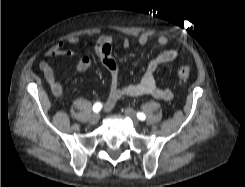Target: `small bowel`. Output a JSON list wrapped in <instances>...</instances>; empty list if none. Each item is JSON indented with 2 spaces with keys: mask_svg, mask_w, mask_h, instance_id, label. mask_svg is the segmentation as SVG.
Masks as SVG:
<instances>
[{
  "mask_svg": "<svg viewBox=\"0 0 245 187\" xmlns=\"http://www.w3.org/2000/svg\"><path fill=\"white\" fill-rule=\"evenodd\" d=\"M150 38L146 34H141L138 37V43L140 45H146ZM78 40L72 38L69 40L70 44H76ZM124 48L130 46V40L124 37L121 41ZM157 44L159 46H166L168 44V38L164 35H160L157 38ZM64 43L58 42L48 50V56L55 57L62 53ZM113 38L111 36L101 37L95 44V52L101 59L104 66L107 68L110 74V92L107 101L104 104L105 110H110L114 107L116 102L123 96H142L149 95L153 98L169 101L173 98V92L168 88H161L157 85L155 80V73L159 66L162 64L171 62L178 58L179 51L176 48H170L162 51L156 57H154L147 65L146 70L137 83H130L121 86L119 84V66L112 55ZM91 65V59L87 55L81 56L74 65V71L81 73L86 71ZM40 70L43 73L44 78L50 85L51 91L55 95H61L63 92L62 85L56 80L55 73L50 63L46 60L40 62Z\"/></svg>",
  "mask_w": 245,
  "mask_h": 187,
  "instance_id": "c3829d8e",
  "label": "small bowel"
}]
</instances>
